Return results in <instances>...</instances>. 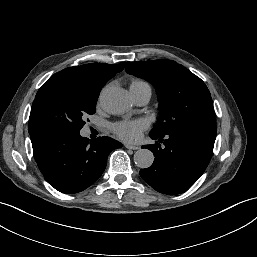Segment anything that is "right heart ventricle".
<instances>
[{
	"label": "right heart ventricle",
	"instance_id": "e07e8e85",
	"mask_svg": "<svg viewBox=\"0 0 257 257\" xmlns=\"http://www.w3.org/2000/svg\"><path fill=\"white\" fill-rule=\"evenodd\" d=\"M145 88H150L149 85L146 82H144L140 79H133L131 81L130 91L136 92V91H139V90H142V89H145Z\"/></svg>",
	"mask_w": 257,
	"mask_h": 257
}]
</instances>
